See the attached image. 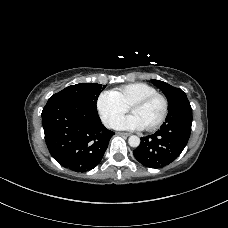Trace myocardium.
Returning a JSON list of instances; mask_svg holds the SVG:
<instances>
[{"label": "myocardium", "mask_w": 228, "mask_h": 228, "mask_svg": "<svg viewBox=\"0 0 228 228\" xmlns=\"http://www.w3.org/2000/svg\"><path fill=\"white\" fill-rule=\"evenodd\" d=\"M156 98L161 99V101L163 103V110H162L161 116L153 125H151L147 128H144V130L148 131V132H152V131L157 130L164 123V121L168 115V112H169V101H168L167 97L164 94H161L159 92L149 94V95H146V96L136 100L129 107V111L132 112V110L134 108L144 106Z\"/></svg>", "instance_id": "myocardium-1"}]
</instances>
